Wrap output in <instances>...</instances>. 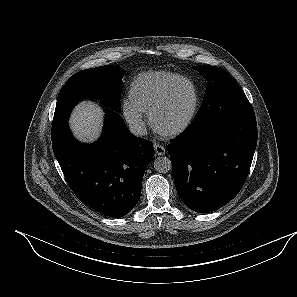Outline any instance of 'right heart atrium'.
<instances>
[{"mask_svg":"<svg viewBox=\"0 0 297 297\" xmlns=\"http://www.w3.org/2000/svg\"><path fill=\"white\" fill-rule=\"evenodd\" d=\"M122 113L131 127V129L138 133L142 134L146 130V119L144 113L136 107L130 100L124 99L122 102Z\"/></svg>","mask_w":297,"mask_h":297,"instance_id":"1","label":"right heart atrium"}]
</instances>
